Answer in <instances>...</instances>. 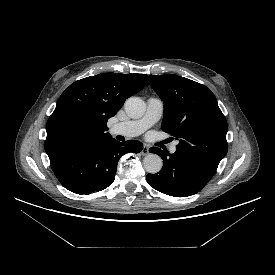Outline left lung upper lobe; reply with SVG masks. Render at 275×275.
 <instances>
[{"label":"left lung upper lobe","mask_w":275,"mask_h":275,"mask_svg":"<svg viewBox=\"0 0 275 275\" xmlns=\"http://www.w3.org/2000/svg\"><path fill=\"white\" fill-rule=\"evenodd\" d=\"M164 102L162 130L179 139L176 150L218 167L226 155L227 121L205 85L177 75H150Z\"/></svg>","instance_id":"obj_1"}]
</instances>
